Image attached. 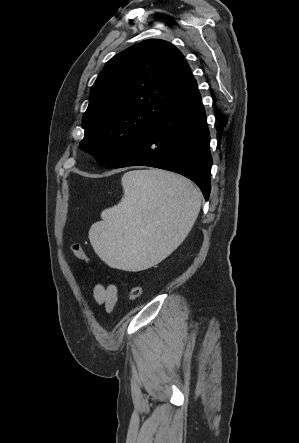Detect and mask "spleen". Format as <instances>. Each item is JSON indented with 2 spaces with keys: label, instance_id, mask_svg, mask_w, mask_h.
Returning <instances> with one entry per match:
<instances>
[{
  "label": "spleen",
  "instance_id": "1",
  "mask_svg": "<svg viewBox=\"0 0 299 443\" xmlns=\"http://www.w3.org/2000/svg\"><path fill=\"white\" fill-rule=\"evenodd\" d=\"M121 201L101 213L89 239L110 267L147 269L186 238L201 206L200 191L186 178L162 170H135L122 177Z\"/></svg>",
  "mask_w": 299,
  "mask_h": 443
}]
</instances>
